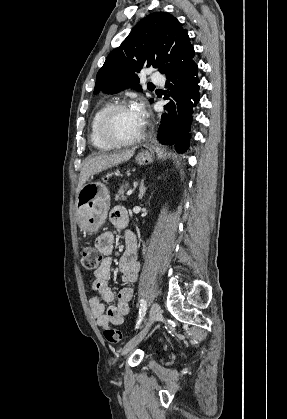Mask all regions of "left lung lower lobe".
<instances>
[{"mask_svg": "<svg viewBox=\"0 0 287 419\" xmlns=\"http://www.w3.org/2000/svg\"><path fill=\"white\" fill-rule=\"evenodd\" d=\"M197 64L192 60L184 68L166 76L167 97L172 99L164 106L157 138L160 143L175 145L177 151L189 147L193 107L199 102Z\"/></svg>", "mask_w": 287, "mask_h": 419, "instance_id": "obj_1", "label": "left lung lower lobe"}]
</instances>
